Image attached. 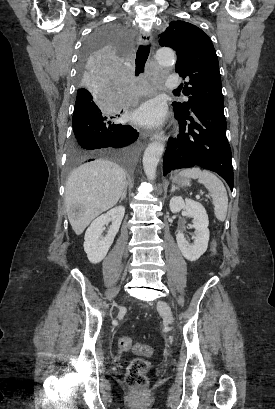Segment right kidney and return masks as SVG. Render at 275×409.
Returning a JSON list of instances; mask_svg holds the SVG:
<instances>
[{
	"instance_id": "right-kidney-1",
	"label": "right kidney",
	"mask_w": 275,
	"mask_h": 409,
	"mask_svg": "<svg viewBox=\"0 0 275 409\" xmlns=\"http://www.w3.org/2000/svg\"><path fill=\"white\" fill-rule=\"evenodd\" d=\"M124 215V207H115V209H111L105 215L95 219L90 227H88L83 247L90 263H101L105 259L120 229ZM108 223H112V225H110L106 237H102L105 229L104 225H108Z\"/></svg>"
}]
</instances>
